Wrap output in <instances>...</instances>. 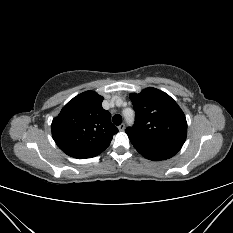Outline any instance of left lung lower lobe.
Listing matches in <instances>:
<instances>
[{
  "label": "left lung lower lobe",
  "mask_w": 233,
  "mask_h": 233,
  "mask_svg": "<svg viewBox=\"0 0 233 233\" xmlns=\"http://www.w3.org/2000/svg\"><path fill=\"white\" fill-rule=\"evenodd\" d=\"M147 159H149V160H153V161H159V160H155V159H151V158H147Z\"/></svg>",
  "instance_id": "0a47b994"
}]
</instances>
